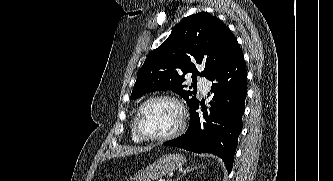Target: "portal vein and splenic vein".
Returning a JSON list of instances; mask_svg holds the SVG:
<instances>
[{"instance_id":"1","label":"portal vein and splenic vein","mask_w":333,"mask_h":181,"mask_svg":"<svg viewBox=\"0 0 333 181\" xmlns=\"http://www.w3.org/2000/svg\"><path fill=\"white\" fill-rule=\"evenodd\" d=\"M159 181H164L163 179H160ZM168 181H172V180H168Z\"/></svg>"}]
</instances>
